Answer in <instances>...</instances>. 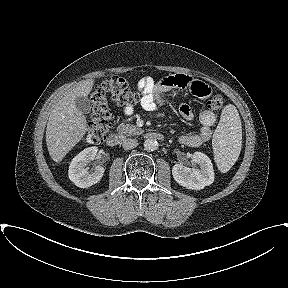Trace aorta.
Here are the masks:
<instances>
[{
    "label": "aorta",
    "instance_id": "aorta-1",
    "mask_svg": "<svg viewBox=\"0 0 288 288\" xmlns=\"http://www.w3.org/2000/svg\"><path fill=\"white\" fill-rule=\"evenodd\" d=\"M144 148L147 151H154L158 148V142L155 139L148 138L144 141Z\"/></svg>",
    "mask_w": 288,
    "mask_h": 288
}]
</instances>
